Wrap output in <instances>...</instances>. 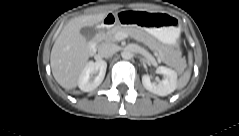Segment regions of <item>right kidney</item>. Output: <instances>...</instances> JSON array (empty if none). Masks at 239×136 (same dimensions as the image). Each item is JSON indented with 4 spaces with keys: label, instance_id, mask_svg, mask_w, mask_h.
Instances as JSON below:
<instances>
[{
    "label": "right kidney",
    "instance_id": "right-kidney-1",
    "mask_svg": "<svg viewBox=\"0 0 239 136\" xmlns=\"http://www.w3.org/2000/svg\"><path fill=\"white\" fill-rule=\"evenodd\" d=\"M106 69L107 63L103 60L88 62L78 79V87L80 90L83 92L95 90L104 80Z\"/></svg>",
    "mask_w": 239,
    "mask_h": 136
}]
</instances>
